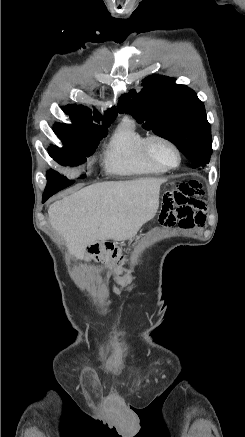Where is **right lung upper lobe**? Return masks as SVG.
<instances>
[{"label": "right lung upper lobe", "mask_w": 245, "mask_h": 437, "mask_svg": "<svg viewBox=\"0 0 245 437\" xmlns=\"http://www.w3.org/2000/svg\"><path fill=\"white\" fill-rule=\"evenodd\" d=\"M63 111L70 116V118L78 124L82 125H89V126H98V127H104L110 125L117 116V111L115 107L109 108L106 112V118L98 117L97 115L93 116V119L98 122L100 119L103 120L102 126L93 124L92 120V114L89 108L83 106V105H69L67 107L62 108ZM108 120V122H107Z\"/></svg>", "instance_id": "1"}]
</instances>
